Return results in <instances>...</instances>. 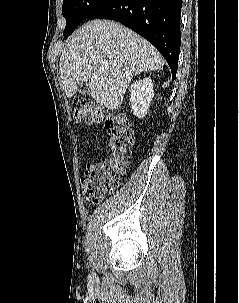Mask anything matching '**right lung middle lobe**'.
Listing matches in <instances>:
<instances>
[{"label": "right lung middle lobe", "mask_w": 239, "mask_h": 303, "mask_svg": "<svg viewBox=\"0 0 239 303\" xmlns=\"http://www.w3.org/2000/svg\"><path fill=\"white\" fill-rule=\"evenodd\" d=\"M106 0H64L62 14L66 19L64 37L67 38L75 28Z\"/></svg>", "instance_id": "right-lung-middle-lobe-1"}]
</instances>
